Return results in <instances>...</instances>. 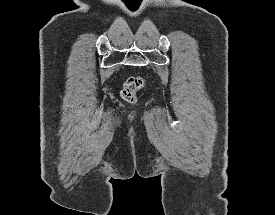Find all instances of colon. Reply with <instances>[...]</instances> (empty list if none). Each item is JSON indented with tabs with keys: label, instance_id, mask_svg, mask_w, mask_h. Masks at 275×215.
Here are the masks:
<instances>
[{
	"label": "colon",
	"instance_id": "colon-1",
	"mask_svg": "<svg viewBox=\"0 0 275 215\" xmlns=\"http://www.w3.org/2000/svg\"><path fill=\"white\" fill-rule=\"evenodd\" d=\"M144 86V80L140 76H131L123 84L121 90V97L126 102H134L136 99V93L140 91Z\"/></svg>",
	"mask_w": 275,
	"mask_h": 215
}]
</instances>
